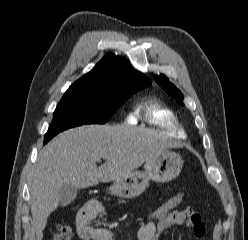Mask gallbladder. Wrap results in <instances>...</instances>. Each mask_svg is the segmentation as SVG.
I'll return each instance as SVG.
<instances>
[{
	"instance_id": "gallbladder-1",
	"label": "gallbladder",
	"mask_w": 248,
	"mask_h": 240,
	"mask_svg": "<svg viewBox=\"0 0 248 240\" xmlns=\"http://www.w3.org/2000/svg\"><path fill=\"white\" fill-rule=\"evenodd\" d=\"M77 188L71 185H64L59 191L60 205L65 207L72 203L77 196Z\"/></svg>"
}]
</instances>
